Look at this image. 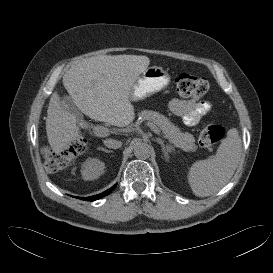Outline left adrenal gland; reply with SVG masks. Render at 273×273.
Returning <instances> with one entry per match:
<instances>
[{
  "instance_id": "left-adrenal-gland-1",
  "label": "left adrenal gland",
  "mask_w": 273,
  "mask_h": 273,
  "mask_svg": "<svg viewBox=\"0 0 273 273\" xmlns=\"http://www.w3.org/2000/svg\"><path fill=\"white\" fill-rule=\"evenodd\" d=\"M156 141H157V143H159L161 145L164 157L166 159H168L169 158V153L172 151V146H170L169 144L165 145L164 141L162 139H160V138H157Z\"/></svg>"
}]
</instances>
